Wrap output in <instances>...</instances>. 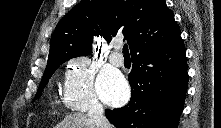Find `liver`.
<instances>
[{
  "instance_id": "liver-1",
  "label": "liver",
  "mask_w": 221,
  "mask_h": 128,
  "mask_svg": "<svg viewBox=\"0 0 221 128\" xmlns=\"http://www.w3.org/2000/svg\"><path fill=\"white\" fill-rule=\"evenodd\" d=\"M55 128H96V125L86 114L77 112L65 116Z\"/></svg>"
}]
</instances>
